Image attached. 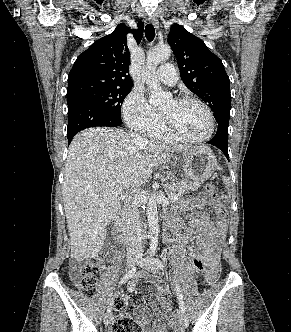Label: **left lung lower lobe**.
Wrapping results in <instances>:
<instances>
[{
    "mask_svg": "<svg viewBox=\"0 0 291 332\" xmlns=\"http://www.w3.org/2000/svg\"><path fill=\"white\" fill-rule=\"evenodd\" d=\"M229 117L230 114H225V113L215 117L218 123V130L214 138L208 142L209 144H212L218 147L221 151H223L228 160H229V155H228L227 141H228Z\"/></svg>",
    "mask_w": 291,
    "mask_h": 332,
    "instance_id": "obj_1",
    "label": "left lung lower lobe"
}]
</instances>
